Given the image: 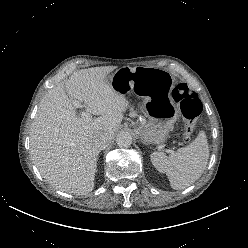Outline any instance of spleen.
<instances>
[{
	"label": "spleen",
	"mask_w": 248,
	"mask_h": 248,
	"mask_svg": "<svg viewBox=\"0 0 248 248\" xmlns=\"http://www.w3.org/2000/svg\"><path fill=\"white\" fill-rule=\"evenodd\" d=\"M150 157L154 167L166 173L173 189H184L198 180L206 168L209 146L205 132L200 131L193 142L170 156L156 151Z\"/></svg>",
	"instance_id": "1"
}]
</instances>
